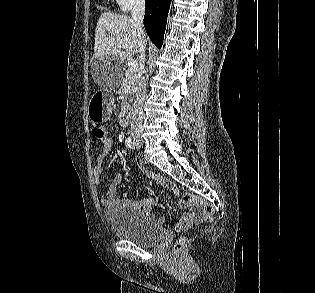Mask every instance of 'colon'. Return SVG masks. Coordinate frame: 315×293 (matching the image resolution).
<instances>
[{"mask_svg": "<svg viewBox=\"0 0 315 293\" xmlns=\"http://www.w3.org/2000/svg\"><path fill=\"white\" fill-rule=\"evenodd\" d=\"M93 135L99 139L103 140L107 137V130L102 126H96L93 129ZM183 201L185 203L189 204H196L202 211L204 217L206 220H211L214 216V207L211 204L203 203L195 198L190 193H186L183 196ZM186 243V239L184 237L177 240V242L174 244V251H180Z\"/></svg>", "mask_w": 315, "mask_h": 293, "instance_id": "colon-1", "label": "colon"}]
</instances>
